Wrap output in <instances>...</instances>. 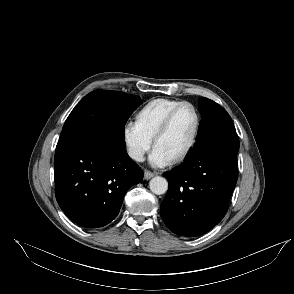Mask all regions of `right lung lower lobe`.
<instances>
[{"label": "right lung lower lobe", "instance_id": "right-lung-lower-lobe-1", "mask_svg": "<svg viewBox=\"0 0 294 294\" xmlns=\"http://www.w3.org/2000/svg\"><path fill=\"white\" fill-rule=\"evenodd\" d=\"M55 195L63 212L86 228L102 227L118 215L127 190L143 171L128 156L124 139L95 138L56 148Z\"/></svg>", "mask_w": 294, "mask_h": 294}]
</instances>
